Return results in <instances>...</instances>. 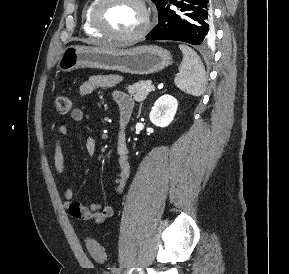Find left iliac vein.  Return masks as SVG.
Segmentation results:
<instances>
[{"label":"left iliac vein","mask_w":289,"mask_h":274,"mask_svg":"<svg viewBox=\"0 0 289 274\" xmlns=\"http://www.w3.org/2000/svg\"><path fill=\"white\" fill-rule=\"evenodd\" d=\"M111 273L112 274H120L121 273V269L120 268H113Z\"/></svg>","instance_id":"left-iliac-vein-1"}]
</instances>
